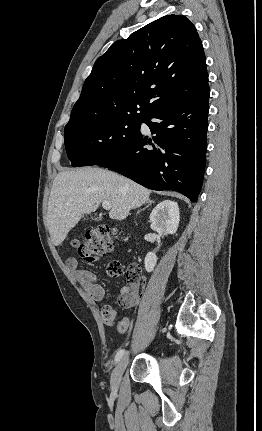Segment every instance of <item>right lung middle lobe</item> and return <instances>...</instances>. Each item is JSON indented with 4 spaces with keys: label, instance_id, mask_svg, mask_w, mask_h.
Masks as SVG:
<instances>
[{
    "label": "right lung middle lobe",
    "instance_id": "right-lung-middle-lobe-1",
    "mask_svg": "<svg viewBox=\"0 0 262 431\" xmlns=\"http://www.w3.org/2000/svg\"><path fill=\"white\" fill-rule=\"evenodd\" d=\"M146 118L121 116L66 126L65 148L73 167L96 165L126 146Z\"/></svg>",
    "mask_w": 262,
    "mask_h": 431
}]
</instances>
